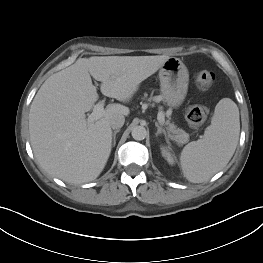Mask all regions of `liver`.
<instances>
[{
    "label": "liver",
    "mask_w": 263,
    "mask_h": 263,
    "mask_svg": "<svg viewBox=\"0 0 263 263\" xmlns=\"http://www.w3.org/2000/svg\"><path fill=\"white\" fill-rule=\"evenodd\" d=\"M169 58L157 56H92L50 76L31 104L29 133L34 156L48 174L72 184L95 180L111 153L110 119L127 116L128 107L109 104L103 116L89 124L85 113L98 100L91 76L101 81L103 95L128 101L142 81Z\"/></svg>",
    "instance_id": "obj_1"
}]
</instances>
